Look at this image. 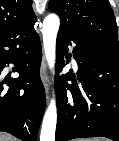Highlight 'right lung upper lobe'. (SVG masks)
Listing matches in <instances>:
<instances>
[{"label": "right lung upper lobe", "instance_id": "cb5924a9", "mask_svg": "<svg viewBox=\"0 0 119 141\" xmlns=\"http://www.w3.org/2000/svg\"><path fill=\"white\" fill-rule=\"evenodd\" d=\"M36 22L31 0H0V39Z\"/></svg>", "mask_w": 119, "mask_h": 141}]
</instances>
